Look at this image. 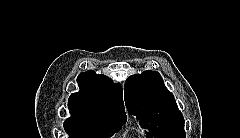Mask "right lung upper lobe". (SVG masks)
<instances>
[{
	"instance_id": "cb5924a9",
	"label": "right lung upper lobe",
	"mask_w": 240,
	"mask_h": 138,
	"mask_svg": "<svg viewBox=\"0 0 240 138\" xmlns=\"http://www.w3.org/2000/svg\"><path fill=\"white\" fill-rule=\"evenodd\" d=\"M80 91L71 94L68 109L71 117L66 121H78L104 126H120L126 122L122 91L119 85L93 70L80 73L77 78Z\"/></svg>"
}]
</instances>
